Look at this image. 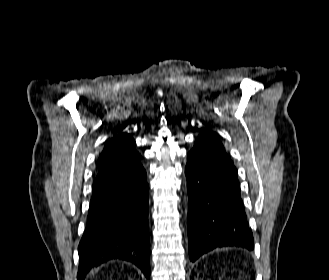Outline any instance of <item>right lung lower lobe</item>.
I'll return each instance as SVG.
<instances>
[{"label": "right lung lower lobe", "mask_w": 329, "mask_h": 280, "mask_svg": "<svg viewBox=\"0 0 329 280\" xmlns=\"http://www.w3.org/2000/svg\"><path fill=\"white\" fill-rule=\"evenodd\" d=\"M148 184L139 164L98 172L85 233L78 247L77 280L111 259L137 265L150 278Z\"/></svg>", "instance_id": "right-lung-lower-lobe-1"}]
</instances>
